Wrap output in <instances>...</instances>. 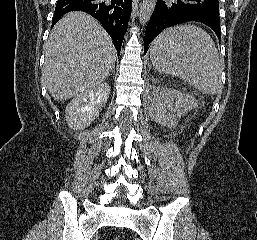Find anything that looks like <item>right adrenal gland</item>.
I'll return each instance as SVG.
<instances>
[{
  "label": "right adrenal gland",
  "mask_w": 257,
  "mask_h": 240,
  "mask_svg": "<svg viewBox=\"0 0 257 240\" xmlns=\"http://www.w3.org/2000/svg\"><path fill=\"white\" fill-rule=\"evenodd\" d=\"M111 73H112L113 75H115V69H114V68L112 69Z\"/></svg>",
  "instance_id": "2a0ac1e0"
}]
</instances>
